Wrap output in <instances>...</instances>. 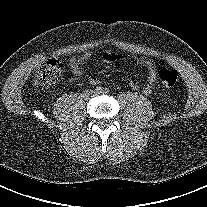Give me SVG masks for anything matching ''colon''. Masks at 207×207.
Listing matches in <instances>:
<instances>
[{"mask_svg": "<svg viewBox=\"0 0 207 207\" xmlns=\"http://www.w3.org/2000/svg\"><path fill=\"white\" fill-rule=\"evenodd\" d=\"M63 70V64L52 59L36 74L34 79L35 87L45 89L52 86L59 78ZM159 79L166 87H173L178 81V73L174 69L163 68L158 73Z\"/></svg>", "mask_w": 207, "mask_h": 207, "instance_id": "5ec220e1", "label": "colon"}]
</instances>
